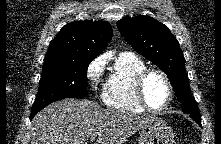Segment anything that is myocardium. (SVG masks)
<instances>
[{"label":"myocardium","mask_w":221,"mask_h":144,"mask_svg":"<svg viewBox=\"0 0 221 144\" xmlns=\"http://www.w3.org/2000/svg\"><path fill=\"white\" fill-rule=\"evenodd\" d=\"M151 74H158L160 75L163 80L165 81L167 88H168V99L166 101V103L160 107V108H152L145 97V82L147 80V78L149 77V75ZM134 91H135V97L137 99V102L139 103V105L148 112H152V113H159V112H163L164 110H166L172 100H173V96H174V89H173V85L168 77V75L161 69L159 68H155V67H145L143 70H141L135 77L134 80Z\"/></svg>","instance_id":"myocardium-1"}]
</instances>
